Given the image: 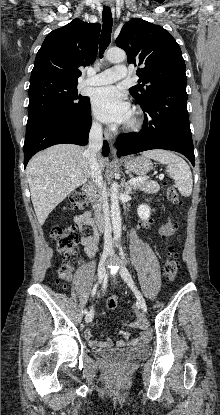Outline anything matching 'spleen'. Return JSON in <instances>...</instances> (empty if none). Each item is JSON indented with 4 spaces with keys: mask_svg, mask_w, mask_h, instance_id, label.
<instances>
[{
    "mask_svg": "<svg viewBox=\"0 0 220 415\" xmlns=\"http://www.w3.org/2000/svg\"><path fill=\"white\" fill-rule=\"evenodd\" d=\"M144 157L166 164V172L175 181L179 192L188 197L192 193L193 180L189 165L178 155L166 150H150L143 153Z\"/></svg>",
    "mask_w": 220,
    "mask_h": 415,
    "instance_id": "spleen-1",
    "label": "spleen"
}]
</instances>
